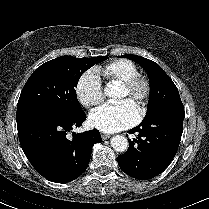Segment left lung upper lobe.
<instances>
[{"label": "left lung upper lobe", "mask_w": 209, "mask_h": 209, "mask_svg": "<svg viewBox=\"0 0 209 209\" xmlns=\"http://www.w3.org/2000/svg\"><path fill=\"white\" fill-rule=\"evenodd\" d=\"M121 57L139 63L148 74L150 80V98L144 120L161 112L184 110L177 87L158 64L132 54L121 55Z\"/></svg>", "instance_id": "left-lung-upper-lobe-1"}]
</instances>
